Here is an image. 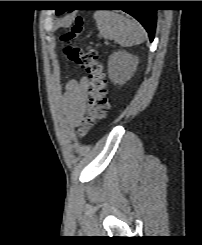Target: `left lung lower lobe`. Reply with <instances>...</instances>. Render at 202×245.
<instances>
[{"label": "left lung lower lobe", "mask_w": 202, "mask_h": 245, "mask_svg": "<svg viewBox=\"0 0 202 245\" xmlns=\"http://www.w3.org/2000/svg\"><path fill=\"white\" fill-rule=\"evenodd\" d=\"M129 4L136 7L123 11H125L126 13L130 14L135 19H137L148 32L150 41H153L155 35L156 21H157L156 10L139 8V6L143 4V1H129ZM65 11L66 10H56V14L60 15ZM69 11L71 12L72 10Z\"/></svg>", "instance_id": "obj_1"}]
</instances>
